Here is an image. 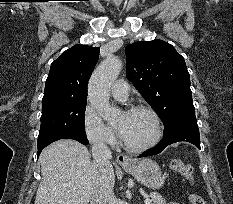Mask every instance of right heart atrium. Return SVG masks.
<instances>
[{
  "label": "right heart atrium",
  "instance_id": "1",
  "mask_svg": "<svg viewBox=\"0 0 233 204\" xmlns=\"http://www.w3.org/2000/svg\"><path fill=\"white\" fill-rule=\"evenodd\" d=\"M83 131L86 139L95 146L107 147L116 143L114 130L91 105H87L83 113Z\"/></svg>",
  "mask_w": 233,
  "mask_h": 204
}]
</instances>
